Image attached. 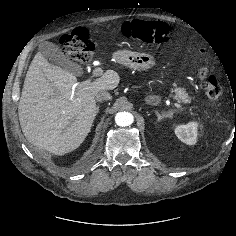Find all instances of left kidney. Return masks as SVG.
Wrapping results in <instances>:
<instances>
[{
  "label": "left kidney",
  "instance_id": "left-kidney-1",
  "mask_svg": "<svg viewBox=\"0 0 236 236\" xmlns=\"http://www.w3.org/2000/svg\"><path fill=\"white\" fill-rule=\"evenodd\" d=\"M198 123L190 122L185 125H177L175 127V135L181 140L183 143L188 145H194L197 142L198 135Z\"/></svg>",
  "mask_w": 236,
  "mask_h": 236
}]
</instances>
